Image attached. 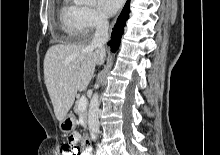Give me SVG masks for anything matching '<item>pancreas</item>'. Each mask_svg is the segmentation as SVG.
Here are the masks:
<instances>
[{
    "mask_svg": "<svg viewBox=\"0 0 220 155\" xmlns=\"http://www.w3.org/2000/svg\"><path fill=\"white\" fill-rule=\"evenodd\" d=\"M78 102H79V100H77L76 101V103H75V106H74V112L76 113V114H82L83 115V118H84V121L86 122V118H87V111L86 110H79V108H78Z\"/></svg>",
    "mask_w": 220,
    "mask_h": 155,
    "instance_id": "cf45deb5",
    "label": "pancreas"
}]
</instances>
